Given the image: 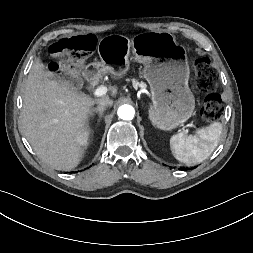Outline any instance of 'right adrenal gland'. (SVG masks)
<instances>
[{
    "label": "right adrenal gland",
    "instance_id": "right-adrenal-gland-1",
    "mask_svg": "<svg viewBox=\"0 0 253 253\" xmlns=\"http://www.w3.org/2000/svg\"><path fill=\"white\" fill-rule=\"evenodd\" d=\"M105 107H97V108H93L91 110V113H90V117H93L95 115V113H97L99 115V120L98 122H100L101 120V117L103 115V112L105 111Z\"/></svg>",
    "mask_w": 253,
    "mask_h": 253
}]
</instances>
